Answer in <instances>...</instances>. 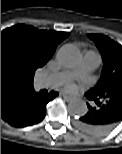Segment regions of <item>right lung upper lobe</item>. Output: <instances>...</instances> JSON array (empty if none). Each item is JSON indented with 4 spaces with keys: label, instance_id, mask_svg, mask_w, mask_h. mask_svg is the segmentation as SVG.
Returning a JSON list of instances; mask_svg holds the SVG:
<instances>
[{
    "label": "right lung upper lobe",
    "instance_id": "1",
    "mask_svg": "<svg viewBox=\"0 0 122 154\" xmlns=\"http://www.w3.org/2000/svg\"><path fill=\"white\" fill-rule=\"evenodd\" d=\"M69 32L38 30L19 24L1 32V100L33 86L37 68L53 56L58 44Z\"/></svg>",
    "mask_w": 122,
    "mask_h": 154
}]
</instances>
